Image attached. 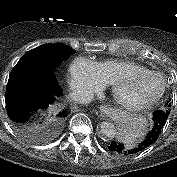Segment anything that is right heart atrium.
Listing matches in <instances>:
<instances>
[{
  "label": "right heart atrium",
  "mask_w": 177,
  "mask_h": 177,
  "mask_svg": "<svg viewBox=\"0 0 177 177\" xmlns=\"http://www.w3.org/2000/svg\"><path fill=\"white\" fill-rule=\"evenodd\" d=\"M70 85L77 92L88 94L101 91L105 82L100 76L94 62L83 58H75L69 67Z\"/></svg>",
  "instance_id": "right-heart-atrium-1"
}]
</instances>
